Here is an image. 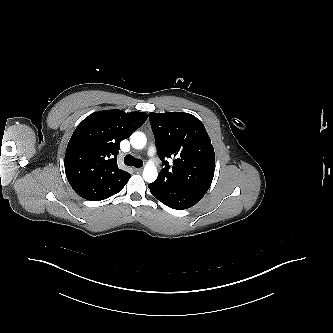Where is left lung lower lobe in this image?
<instances>
[{
  "label": "left lung lower lobe",
  "instance_id": "1",
  "mask_svg": "<svg viewBox=\"0 0 333 333\" xmlns=\"http://www.w3.org/2000/svg\"><path fill=\"white\" fill-rule=\"evenodd\" d=\"M152 195L172 209H188L199 202L205 193L178 188L156 179L148 185Z\"/></svg>",
  "mask_w": 333,
  "mask_h": 333
}]
</instances>
